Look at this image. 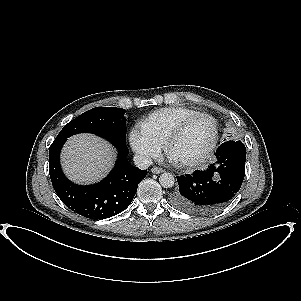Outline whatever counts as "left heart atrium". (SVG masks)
Here are the masks:
<instances>
[{
  "label": "left heart atrium",
  "instance_id": "obj_1",
  "mask_svg": "<svg viewBox=\"0 0 301 301\" xmlns=\"http://www.w3.org/2000/svg\"><path fill=\"white\" fill-rule=\"evenodd\" d=\"M169 158H170V161H171L172 163H174V164H178V165L182 164V161L179 160L177 157H175V156H173V155H170Z\"/></svg>",
  "mask_w": 301,
  "mask_h": 301
}]
</instances>
